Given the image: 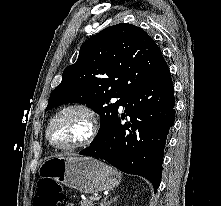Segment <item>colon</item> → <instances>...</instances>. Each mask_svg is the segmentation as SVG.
<instances>
[{
  "instance_id": "obj_1",
  "label": "colon",
  "mask_w": 221,
  "mask_h": 206,
  "mask_svg": "<svg viewBox=\"0 0 221 206\" xmlns=\"http://www.w3.org/2000/svg\"><path fill=\"white\" fill-rule=\"evenodd\" d=\"M34 206H67L66 194L53 181L41 180L34 194Z\"/></svg>"
}]
</instances>
